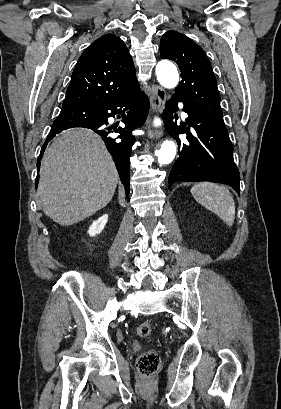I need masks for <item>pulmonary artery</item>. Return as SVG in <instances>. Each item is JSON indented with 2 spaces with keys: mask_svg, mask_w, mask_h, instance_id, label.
Here are the masks:
<instances>
[{
  "mask_svg": "<svg viewBox=\"0 0 281 409\" xmlns=\"http://www.w3.org/2000/svg\"><path fill=\"white\" fill-rule=\"evenodd\" d=\"M182 115H183L184 117H186L187 114H186V112L183 111V112H182Z\"/></svg>",
  "mask_w": 281,
  "mask_h": 409,
  "instance_id": "e3ab8cb5",
  "label": "pulmonary artery"
}]
</instances>
